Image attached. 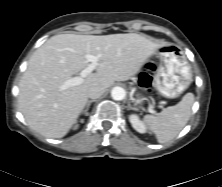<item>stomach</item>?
<instances>
[{"label":"stomach","mask_w":222,"mask_h":187,"mask_svg":"<svg viewBox=\"0 0 222 187\" xmlns=\"http://www.w3.org/2000/svg\"><path fill=\"white\" fill-rule=\"evenodd\" d=\"M159 60L154 84L160 94L176 98L192 82V71L183 50L173 43H160L155 54ZM146 98L136 95L135 106H142ZM136 109V108H135Z\"/></svg>","instance_id":"obj_1"}]
</instances>
